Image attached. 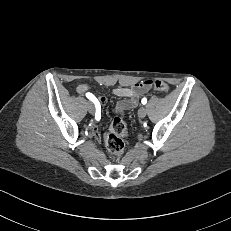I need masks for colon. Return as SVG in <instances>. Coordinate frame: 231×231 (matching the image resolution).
I'll list each match as a JSON object with an SVG mask.
<instances>
[{"label":"colon","mask_w":231,"mask_h":231,"mask_svg":"<svg viewBox=\"0 0 231 231\" xmlns=\"http://www.w3.org/2000/svg\"><path fill=\"white\" fill-rule=\"evenodd\" d=\"M150 86L159 92L167 93L169 86L163 81H151ZM127 136V129L123 120L119 117H115L105 135L106 148L110 155L117 159L119 158L125 149L124 138Z\"/></svg>","instance_id":"obj_1"}]
</instances>
